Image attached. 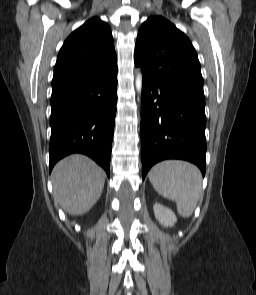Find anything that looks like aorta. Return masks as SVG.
<instances>
[{
  "mask_svg": "<svg viewBox=\"0 0 256 295\" xmlns=\"http://www.w3.org/2000/svg\"><path fill=\"white\" fill-rule=\"evenodd\" d=\"M135 85H136V89H137L139 92H141V88H142V76H141L140 73L137 75Z\"/></svg>",
  "mask_w": 256,
  "mask_h": 295,
  "instance_id": "1",
  "label": "aorta"
}]
</instances>
